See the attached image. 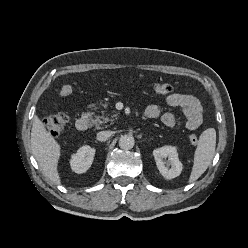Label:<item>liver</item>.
Segmentation results:
<instances>
[{
  "label": "liver",
  "mask_w": 248,
  "mask_h": 248,
  "mask_svg": "<svg viewBox=\"0 0 248 248\" xmlns=\"http://www.w3.org/2000/svg\"><path fill=\"white\" fill-rule=\"evenodd\" d=\"M32 154L43 174L54 184H60L57 170L61 148L54 137L46 130L43 122L34 116L31 129Z\"/></svg>",
  "instance_id": "obj_1"
}]
</instances>
